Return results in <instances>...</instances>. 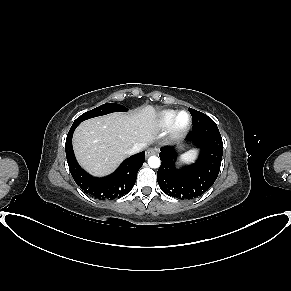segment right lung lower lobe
Segmentation results:
<instances>
[{
    "label": "right lung lower lobe",
    "mask_w": 291,
    "mask_h": 291,
    "mask_svg": "<svg viewBox=\"0 0 291 291\" xmlns=\"http://www.w3.org/2000/svg\"><path fill=\"white\" fill-rule=\"evenodd\" d=\"M77 126L72 125L65 143L69 170L76 184L84 192L99 200H113L129 193L136 182L138 170L144 163L145 152L129 157L109 176L93 177L80 167L73 152L72 136Z\"/></svg>",
    "instance_id": "98d812e1"
}]
</instances>
